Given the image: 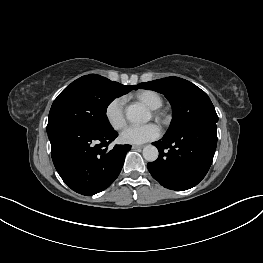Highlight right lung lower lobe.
I'll list each match as a JSON object with an SVG mask.
<instances>
[{"label":"right lung lower lobe","instance_id":"1","mask_svg":"<svg viewBox=\"0 0 263 263\" xmlns=\"http://www.w3.org/2000/svg\"><path fill=\"white\" fill-rule=\"evenodd\" d=\"M51 156L62 180L75 192L97 194L118 177L130 145H108L118 136L113 128L96 130L64 125L47 131Z\"/></svg>","mask_w":263,"mask_h":263}]
</instances>
